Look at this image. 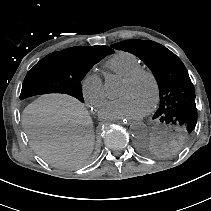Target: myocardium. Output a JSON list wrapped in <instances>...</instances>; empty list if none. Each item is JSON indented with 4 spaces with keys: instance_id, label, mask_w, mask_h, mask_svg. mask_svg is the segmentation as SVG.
Returning <instances> with one entry per match:
<instances>
[{
    "instance_id": "myocardium-1",
    "label": "myocardium",
    "mask_w": 211,
    "mask_h": 211,
    "mask_svg": "<svg viewBox=\"0 0 211 211\" xmlns=\"http://www.w3.org/2000/svg\"><path fill=\"white\" fill-rule=\"evenodd\" d=\"M141 77L149 78L154 88L153 100L151 104L149 105V107L145 109V113L149 114V113L154 112L157 109L160 102V98H161L160 84L156 75L149 69L139 68L135 70L134 72L130 73L129 75L125 76L123 78V81L134 83L137 80H139Z\"/></svg>"
}]
</instances>
